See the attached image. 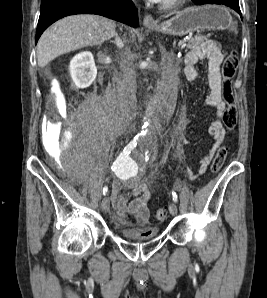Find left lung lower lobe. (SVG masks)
Returning <instances> with one entry per match:
<instances>
[{"label":"left lung lower lobe","instance_id":"0a47b994","mask_svg":"<svg viewBox=\"0 0 267 298\" xmlns=\"http://www.w3.org/2000/svg\"><path fill=\"white\" fill-rule=\"evenodd\" d=\"M193 2L196 5L223 4V5L229 6L230 8L234 9L242 17L238 0H197V1H193Z\"/></svg>","mask_w":267,"mask_h":298}]
</instances>
